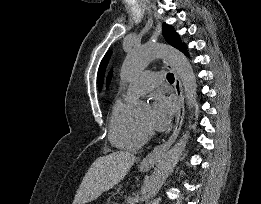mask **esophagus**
<instances>
[{"label": "esophagus", "mask_w": 261, "mask_h": 204, "mask_svg": "<svg viewBox=\"0 0 261 204\" xmlns=\"http://www.w3.org/2000/svg\"><path fill=\"white\" fill-rule=\"evenodd\" d=\"M164 65L170 69L175 77L174 88L178 102V112L176 116V124L173 130V133L169 137V139L161 144L156 146L143 160L141 161V167L145 169H150L156 165V163L160 160V158L167 152V150L171 147V145L175 142L178 134L181 130L183 119H184V96H183V88L181 84V80L175 70V68L166 60L163 61Z\"/></svg>", "instance_id": "esophagus-1"}]
</instances>
